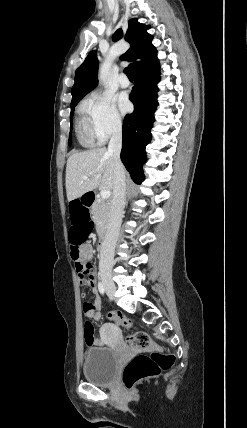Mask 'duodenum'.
Returning a JSON list of instances; mask_svg holds the SVG:
<instances>
[{
  "instance_id": "410a0bca",
  "label": "duodenum",
  "mask_w": 247,
  "mask_h": 428,
  "mask_svg": "<svg viewBox=\"0 0 247 428\" xmlns=\"http://www.w3.org/2000/svg\"><path fill=\"white\" fill-rule=\"evenodd\" d=\"M93 201H94V194L92 192L86 193L84 203L92 205ZM106 243H107V234L103 233L101 234L98 240V249L100 252H103L105 250Z\"/></svg>"
}]
</instances>
